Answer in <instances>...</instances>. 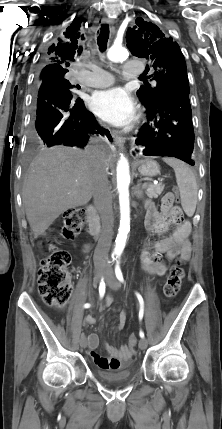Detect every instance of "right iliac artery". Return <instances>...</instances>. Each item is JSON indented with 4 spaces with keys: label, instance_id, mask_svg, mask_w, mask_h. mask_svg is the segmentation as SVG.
I'll list each match as a JSON object with an SVG mask.
<instances>
[{
    "label": "right iliac artery",
    "instance_id": "obj_1",
    "mask_svg": "<svg viewBox=\"0 0 222 429\" xmlns=\"http://www.w3.org/2000/svg\"><path fill=\"white\" fill-rule=\"evenodd\" d=\"M104 293H105V282L102 279L100 282V285H99V294L101 297H103ZM89 307H90L89 303L84 304V308H89ZM82 335H84V334H82Z\"/></svg>",
    "mask_w": 222,
    "mask_h": 429
}]
</instances>
